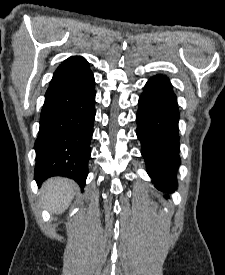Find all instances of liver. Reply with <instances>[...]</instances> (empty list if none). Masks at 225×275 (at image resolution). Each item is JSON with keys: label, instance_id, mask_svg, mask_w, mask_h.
Listing matches in <instances>:
<instances>
[{"label": "liver", "instance_id": "obj_1", "mask_svg": "<svg viewBox=\"0 0 225 275\" xmlns=\"http://www.w3.org/2000/svg\"><path fill=\"white\" fill-rule=\"evenodd\" d=\"M77 185L67 178H51L41 189L42 201L53 213H63L76 193Z\"/></svg>", "mask_w": 225, "mask_h": 275}]
</instances>
